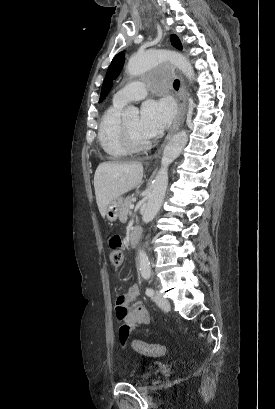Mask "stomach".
Instances as JSON below:
<instances>
[{"label": "stomach", "instance_id": "obj_1", "mask_svg": "<svg viewBox=\"0 0 275 409\" xmlns=\"http://www.w3.org/2000/svg\"><path fill=\"white\" fill-rule=\"evenodd\" d=\"M121 205H123L122 196H118V198H114V200H111V202H109V205H107L106 209L107 221H110V223H114V221H117Z\"/></svg>", "mask_w": 275, "mask_h": 409}]
</instances>
